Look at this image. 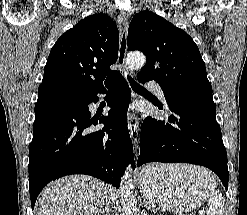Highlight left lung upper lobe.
<instances>
[{
	"label": "left lung upper lobe",
	"instance_id": "5c2ea615",
	"mask_svg": "<svg viewBox=\"0 0 247 215\" xmlns=\"http://www.w3.org/2000/svg\"><path fill=\"white\" fill-rule=\"evenodd\" d=\"M127 44L129 50L146 55L139 75L158 82L167 103L192 100L214 105L205 63L182 29L151 11H141L130 22Z\"/></svg>",
	"mask_w": 247,
	"mask_h": 215
}]
</instances>
